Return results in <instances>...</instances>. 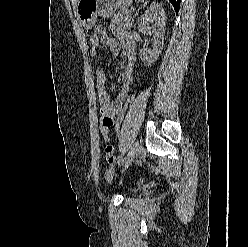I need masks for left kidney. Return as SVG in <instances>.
I'll return each instance as SVG.
<instances>
[{"label": "left kidney", "mask_w": 248, "mask_h": 247, "mask_svg": "<svg viewBox=\"0 0 248 247\" xmlns=\"http://www.w3.org/2000/svg\"><path fill=\"white\" fill-rule=\"evenodd\" d=\"M166 19L165 11L159 3H152L145 14L139 19V31L147 35H153L154 37L152 50H140L139 56L145 64L149 65L155 62L161 53ZM153 22L154 24L149 26V23Z\"/></svg>", "instance_id": "5707ae66"}]
</instances>
